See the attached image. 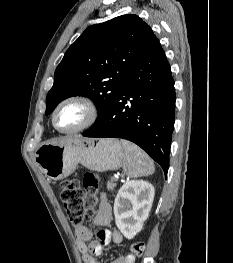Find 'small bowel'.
Masks as SVG:
<instances>
[{
    "instance_id": "c3829d8e",
    "label": "small bowel",
    "mask_w": 233,
    "mask_h": 263,
    "mask_svg": "<svg viewBox=\"0 0 233 263\" xmlns=\"http://www.w3.org/2000/svg\"><path fill=\"white\" fill-rule=\"evenodd\" d=\"M113 220V212L106 196L102 194L97 203V212L92 219V224L101 227L95 239H92L91 230L85 226L76 227V245L82 256L83 263H100L98 256L102 248L109 243L120 244L123 240L121 232L118 230L111 231L104 227L109 226ZM133 255H122L112 263H134Z\"/></svg>"
}]
</instances>
